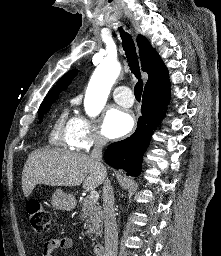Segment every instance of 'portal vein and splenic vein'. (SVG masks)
<instances>
[{"label": "portal vein and splenic vein", "mask_w": 221, "mask_h": 256, "mask_svg": "<svg viewBox=\"0 0 221 256\" xmlns=\"http://www.w3.org/2000/svg\"><path fill=\"white\" fill-rule=\"evenodd\" d=\"M89 197H90L92 200L97 201L98 198H99V194H98L97 191L92 190V191L90 192V196H89Z\"/></svg>", "instance_id": "portal-vein-and-splenic-vein-1"}]
</instances>
